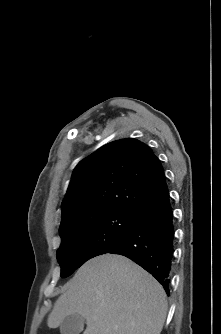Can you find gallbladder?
<instances>
[{"mask_svg": "<svg viewBox=\"0 0 221 334\" xmlns=\"http://www.w3.org/2000/svg\"><path fill=\"white\" fill-rule=\"evenodd\" d=\"M84 318L79 314L67 316L60 324L61 334H80L84 328Z\"/></svg>", "mask_w": 221, "mask_h": 334, "instance_id": "bac80fb5", "label": "gallbladder"}]
</instances>
